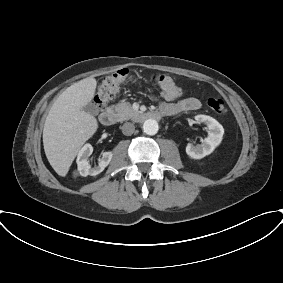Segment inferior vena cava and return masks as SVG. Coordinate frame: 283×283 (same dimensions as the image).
Returning <instances> with one entry per match:
<instances>
[{
    "label": "inferior vena cava",
    "mask_w": 283,
    "mask_h": 283,
    "mask_svg": "<svg viewBox=\"0 0 283 283\" xmlns=\"http://www.w3.org/2000/svg\"><path fill=\"white\" fill-rule=\"evenodd\" d=\"M122 133L126 136H130L134 133L135 126L133 123L126 122L121 127Z\"/></svg>",
    "instance_id": "1"
}]
</instances>
